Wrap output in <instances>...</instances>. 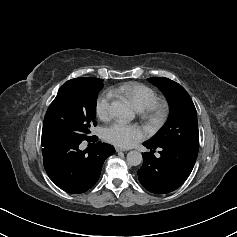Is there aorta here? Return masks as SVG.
<instances>
[{
  "mask_svg": "<svg viewBox=\"0 0 237 237\" xmlns=\"http://www.w3.org/2000/svg\"><path fill=\"white\" fill-rule=\"evenodd\" d=\"M111 111L120 119L130 121L134 118L131 108L121 101H115L111 104ZM143 161L142 154L139 151H130L127 154V163L131 166H138Z\"/></svg>",
  "mask_w": 237,
  "mask_h": 237,
  "instance_id": "aorta-1",
  "label": "aorta"
}]
</instances>
